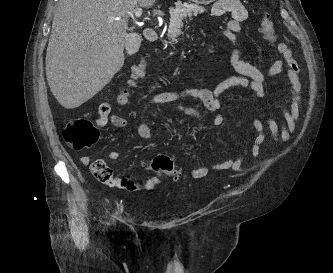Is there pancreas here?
I'll return each instance as SVG.
<instances>
[{
	"mask_svg": "<svg viewBox=\"0 0 333 273\" xmlns=\"http://www.w3.org/2000/svg\"><path fill=\"white\" fill-rule=\"evenodd\" d=\"M204 12V8L191 3H178L174 8L170 10V24L168 28V39L170 43H174L176 38L182 34L181 27L183 26V20L189 18L192 19V16H197Z\"/></svg>",
	"mask_w": 333,
	"mask_h": 273,
	"instance_id": "1",
	"label": "pancreas"
}]
</instances>
